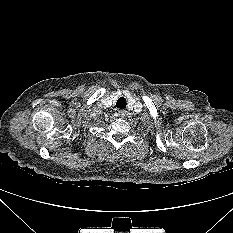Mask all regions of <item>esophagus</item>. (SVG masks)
I'll use <instances>...</instances> for the list:
<instances>
[{
  "mask_svg": "<svg viewBox=\"0 0 233 233\" xmlns=\"http://www.w3.org/2000/svg\"><path fill=\"white\" fill-rule=\"evenodd\" d=\"M125 114H126V111H125V110H120V111L118 112V115L121 116V117H124Z\"/></svg>",
  "mask_w": 233,
  "mask_h": 233,
  "instance_id": "obj_1",
  "label": "esophagus"
}]
</instances>
